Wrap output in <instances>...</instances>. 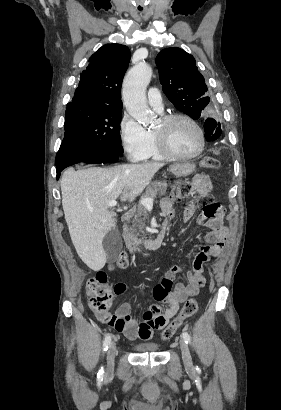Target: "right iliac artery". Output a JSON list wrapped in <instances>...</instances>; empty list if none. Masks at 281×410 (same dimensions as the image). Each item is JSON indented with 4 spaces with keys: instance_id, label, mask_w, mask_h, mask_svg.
Instances as JSON below:
<instances>
[{
    "instance_id": "82829eb1",
    "label": "right iliac artery",
    "mask_w": 281,
    "mask_h": 410,
    "mask_svg": "<svg viewBox=\"0 0 281 410\" xmlns=\"http://www.w3.org/2000/svg\"><path fill=\"white\" fill-rule=\"evenodd\" d=\"M110 342H111V335L108 334V335L105 337L104 342H103V351H107ZM103 373H104L103 368H101V369L99 370L98 374H97V376H98V377H97V378H98V381H102V380H103Z\"/></svg>"
}]
</instances>
